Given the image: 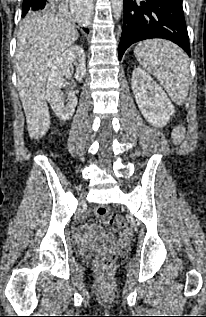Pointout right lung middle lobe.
<instances>
[{"mask_svg": "<svg viewBox=\"0 0 206 317\" xmlns=\"http://www.w3.org/2000/svg\"><path fill=\"white\" fill-rule=\"evenodd\" d=\"M65 1L66 0H56L55 1V7H56L55 10H59L60 7L65 4ZM22 10H23L22 17H26V18H31V17H34V16H36L38 14L45 13L43 11L42 12H30V11H28V6H26L24 4H23V7H22Z\"/></svg>", "mask_w": 206, "mask_h": 317, "instance_id": "1", "label": "right lung middle lobe"}]
</instances>
